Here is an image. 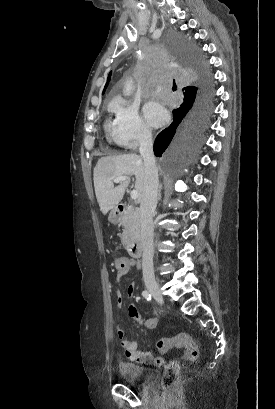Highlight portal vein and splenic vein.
<instances>
[{
    "label": "portal vein and splenic vein",
    "mask_w": 275,
    "mask_h": 409,
    "mask_svg": "<svg viewBox=\"0 0 275 409\" xmlns=\"http://www.w3.org/2000/svg\"><path fill=\"white\" fill-rule=\"evenodd\" d=\"M114 182H122V180H129V176H116V178H113ZM131 198H138V190H131Z\"/></svg>",
    "instance_id": "1"
}]
</instances>
